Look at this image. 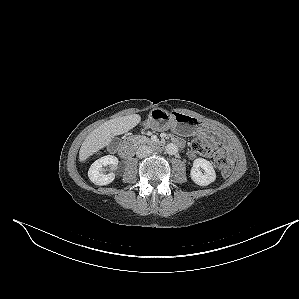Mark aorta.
I'll use <instances>...</instances> for the list:
<instances>
[{
    "mask_svg": "<svg viewBox=\"0 0 299 299\" xmlns=\"http://www.w3.org/2000/svg\"><path fill=\"white\" fill-rule=\"evenodd\" d=\"M166 152L169 155H174L178 152V147L176 144L170 143L166 146Z\"/></svg>",
    "mask_w": 299,
    "mask_h": 299,
    "instance_id": "1",
    "label": "aorta"
}]
</instances>
